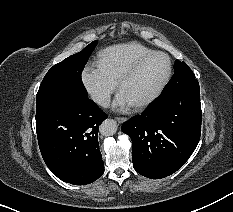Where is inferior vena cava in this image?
<instances>
[{
  "mask_svg": "<svg viewBox=\"0 0 233 212\" xmlns=\"http://www.w3.org/2000/svg\"><path fill=\"white\" fill-rule=\"evenodd\" d=\"M95 102L100 104L101 106H108L110 103V96L106 93H99L93 96Z\"/></svg>",
  "mask_w": 233,
  "mask_h": 212,
  "instance_id": "obj_1",
  "label": "inferior vena cava"
}]
</instances>
